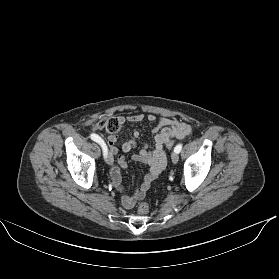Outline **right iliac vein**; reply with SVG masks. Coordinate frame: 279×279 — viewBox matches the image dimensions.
<instances>
[{"instance_id":"1","label":"right iliac vein","mask_w":279,"mask_h":279,"mask_svg":"<svg viewBox=\"0 0 279 279\" xmlns=\"http://www.w3.org/2000/svg\"><path fill=\"white\" fill-rule=\"evenodd\" d=\"M105 159H106V162L109 164V165H112L114 160H113V156L112 154L109 152L105 155Z\"/></svg>"}]
</instances>
